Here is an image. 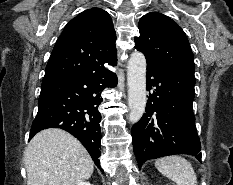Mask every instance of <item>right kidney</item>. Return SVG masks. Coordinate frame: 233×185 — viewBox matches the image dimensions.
Returning <instances> with one entry per match:
<instances>
[{
    "label": "right kidney",
    "mask_w": 233,
    "mask_h": 185,
    "mask_svg": "<svg viewBox=\"0 0 233 185\" xmlns=\"http://www.w3.org/2000/svg\"><path fill=\"white\" fill-rule=\"evenodd\" d=\"M78 185H91L89 182H80Z\"/></svg>",
    "instance_id": "1"
}]
</instances>
